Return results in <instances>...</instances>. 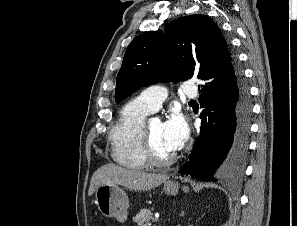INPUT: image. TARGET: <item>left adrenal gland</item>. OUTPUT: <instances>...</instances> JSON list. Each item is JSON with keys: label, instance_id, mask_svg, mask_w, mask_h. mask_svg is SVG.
I'll list each match as a JSON object with an SVG mask.
<instances>
[{"label": "left adrenal gland", "instance_id": "a2214340", "mask_svg": "<svg viewBox=\"0 0 297 226\" xmlns=\"http://www.w3.org/2000/svg\"><path fill=\"white\" fill-rule=\"evenodd\" d=\"M181 215H182V216L184 215V212H183V211L181 212Z\"/></svg>", "mask_w": 297, "mask_h": 226}]
</instances>
